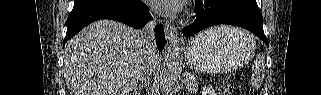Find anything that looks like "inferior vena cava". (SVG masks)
<instances>
[{
	"mask_svg": "<svg viewBox=\"0 0 321 95\" xmlns=\"http://www.w3.org/2000/svg\"><path fill=\"white\" fill-rule=\"evenodd\" d=\"M154 24L155 19H153L151 23L147 24L141 31V35L144 39V42L149 49V57L145 67L143 68V72L140 78L141 81H149L152 71L154 70L153 57L156 51V45L154 40Z\"/></svg>",
	"mask_w": 321,
	"mask_h": 95,
	"instance_id": "1",
	"label": "inferior vena cava"
}]
</instances>
